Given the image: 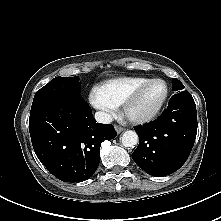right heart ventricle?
Masks as SVG:
<instances>
[{"label":"right heart ventricle","mask_w":221,"mask_h":221,"mask_svg":"<svg viewBox=\"0 0 221 221\" xmlns=\"http://www.w3.org/2000/svg\"><path fill=\"white\" fill-rule=\"evenodd\" d=\"M148 80L144 77L114 78L105 81L99 88L110 101L120 106L140 85Z\"/></svg>","instance_id":"right-heart-ventricle-1"}]
</instances>
